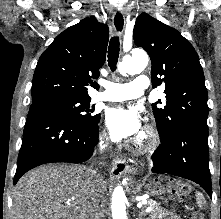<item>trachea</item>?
I'll list each match as a JSON object with an SVG mask.
<instances>
[{"label":"trachea","instance_id":"1","mask_svg":"<svg viewBox=\"0 0 221 219\" xmlns=\"http://www.w3.org/2000/svg\"><path fill=\"white\" fill-rule=\"evenodd\" d=\"M120 52L119 37L114 36L111 38L108 46V65L112 71L116 70L117 62Z\"/></svg>","mask_w":221,"mask_h":219}]
</instances>
